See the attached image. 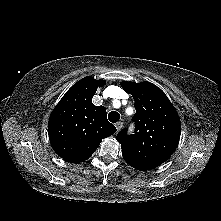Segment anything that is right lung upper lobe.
<instances>
[{
    "instance_id": "1",
    "label": "right lung upper lobe",
    "mask_w": 221,
    "mask_h": 221,
    "mask_svg": "<svg viewBox=\"0 0 221 221\" xmlns=\"http://www.w3.org/2000/svg\"><path fill=\"white\" fill-rule=\"evenodd\" d=\"M104 81L85 77L62 97L49 118L48 134L53 150L64 160H87L103 138L116 132L108 122L106 109L92 104L98 86Z\"/></svg>"
}]
</instances>
